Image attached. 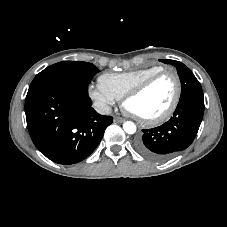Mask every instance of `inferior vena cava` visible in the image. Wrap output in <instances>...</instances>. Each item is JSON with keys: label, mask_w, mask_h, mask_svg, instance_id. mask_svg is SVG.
I'll list each match as a JSON object with an SVG mask.
<instances>
[{"label": "inferior vena cava", "mask_w": 227, "mask_h": 227, "mask_svg": "<svg viewBox=\"0 0 227 227\" xmlns=\"http://www.w3.org/2000/svg\"><path fill=\"white\" fill-rule=\"evenodd\" d=\"M96 111L102 115H109L112 112V109L108 105H98L95 107Z\"/></svg>", "instance_id": "inferior-vena-cava-1"}]
</instances>
